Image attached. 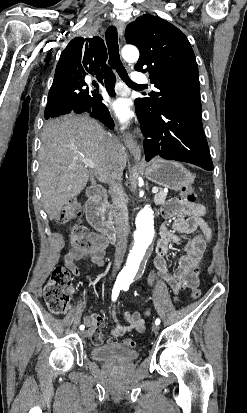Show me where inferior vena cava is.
<instances>
[{"instance_id":"obj_1","label":"inferior vena cava","mask_w":247,"mask_h":413,"mask_svg":"<svg viewBox=\"0 0 247 413\" xmlns=\"http://www.w3.org/2000/svg\"><path fill=\"white\" fill-rule=\"evenodd\" d=\"M108 140H110V142H114L115 148H117L119 144H122L119 138H117V136H114V134H108ZM122 176V170H120V168H115V166H112L109 174L108 184H110L109 188L113 202L115 215L114 221L117 231V243L114 259L115 271H118V269H120V265L126 253L129 233V217L127 209L128 196L127 194H125L124 188H122Z\"/></svg>"}]
</instances>
